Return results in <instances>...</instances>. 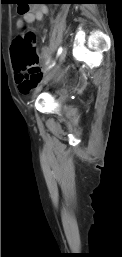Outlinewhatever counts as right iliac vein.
Instances as JSON below:
<instances>
[{
    "instance_id": "1",
    "label": "right iliac vein",
    "mask_w": 122,
    "mask_h": 257,
    "mask_svg": "<svg viewBox=\"0 0 122 257\" xmlns=\"http://www.w3.org/2000/svg\"><path fill=\"white\" fill-rule=\"evenodd\" d=\"M66 53H67V50L64 49L60 55V59H59V63L58 65L56 66V68L54 69V71L52 73H50L44 80L43 82L37 87L35 93H37L44 84H46L53 76V74L56 72V70L59 68V66L63 63V61L65 60V57H66Z\"/></svg>"
}]
</instances>
